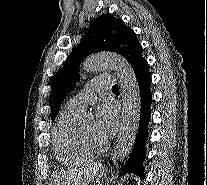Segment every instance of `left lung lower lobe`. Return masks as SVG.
Segmentation results:
<instances>
[{
	"label": "left lung lower lobe",
	"instance_id": "left-lung-lower-lobe-1",
	"mask_svg": "<svg viewBox=\"0 0 207 185\" xmlns=\"http://www.w3.org/2000/svg\"><path fill=\"white\" fill-rule=\"evenodd\" d=\"M140 95H141V114L138 127V133L135 144L128 163L123 166L124 172H131L143 178V161L146 155L145 143L148 139V124L151 117L150 106L152 103V94L150 91L151 76L148 72V66L140 68L136 73Z\"/></svg>",
	"mask_w": 207,
	"mask_h": 185
}]
</instances>
